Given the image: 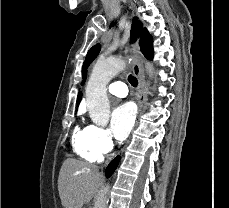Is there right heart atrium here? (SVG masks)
Returning <instances> with one entry per match:
<instances>
[{
    "instance_id": "1",
    "label": "right heart atrium",
    "mask_w": 229,
    "mask_h": 208,
    "mask_svg": "<svg viewBox=\"0 0 229 208\" xmlns=\"http://www.w3.org/2000/svg\"><path fill=\"white\" fill-rule=\"evenodd\" d=\"M89 131L90 144L101 155L109 153L114 147V141L109 130L91 125Z\"/></svg>"
}]
</instances>
